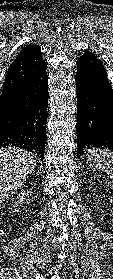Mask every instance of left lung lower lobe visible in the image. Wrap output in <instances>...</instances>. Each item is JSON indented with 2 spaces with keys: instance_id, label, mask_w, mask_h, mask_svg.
<instances>
[{
  "instance_id": "0a47b994",
  "label": "left lung lower lobe",
  "mask_w": 113,
  "mask_h": 279,
  "mask_svg": "<svg viewBox=\"0 0 113 279\" xmlns=\"http://www.w3.org/2000/svg\"><path fill=\"white\" fill-rule=\"evenodd\" d=\"M76 64L77 155L94 147L113 150V89L105 67L89 51Z\"/></svg>"
}]
</instances>
